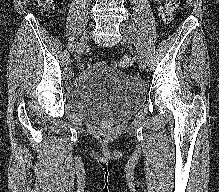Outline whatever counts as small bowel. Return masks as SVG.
Listing matches in <instances>:
<instances>
[{
  "label": "small bowel",
  "instance_id": "small-bowel-1",
  "mask_svg": "<svg viewBox=\"0 0 219 192\" xmlns=\"http://www.w3.org/2000/svg\"><path fill=\"white\" fill-rule=\"evenodd\" d=\"M156 3H160L161 2V0H154Z\"/></svg>",
  "mask_w": 219,
  "mask_h": 192
}]
</instances>
